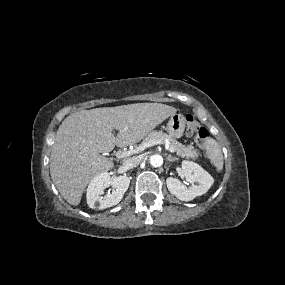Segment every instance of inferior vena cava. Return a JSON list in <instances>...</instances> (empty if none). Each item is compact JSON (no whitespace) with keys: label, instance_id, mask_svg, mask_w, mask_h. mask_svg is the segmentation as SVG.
I'll return each instance as SVG.
<instances>
[{"label":"inferior vena cava","instance_id":"obj_1","mask_svg":"<svg viewBox=\"0 0 285 285\" xmlns=\"http://www.w3.org/2000/svg\"><path fill=\"white\" fill-rule=\"evenodd\" d=\"M141 158L139 156L132 157L125 161L124 166L128 169L138 166L141 163Z\"/></svg>","mask_w":285,"mask_h":285}]
</instances>
